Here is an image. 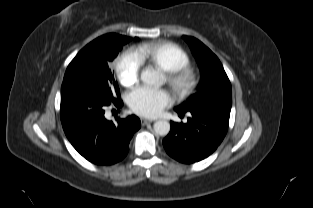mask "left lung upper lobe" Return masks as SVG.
Listing matches in <instances>:
<instances>
[{
    "label": "left lung upper lobe",
    "instance_id": "1",
    "mask_svg": "<svg viewBox=\"0 0 313 208\" xmlns=\"http://www.w3.org/2000/svg\"><path fill=\"white\" fill-rule=\"evenodd\" d=\"M183 38L189 44L199 65L201 81L197 92L176 108L181 111L205 106L231 109L232 88L220 60L196 38L190 36H183Z\"/></svg>",
    "mask_w": 313,
    "mask_h": 208
}]
</instances>
